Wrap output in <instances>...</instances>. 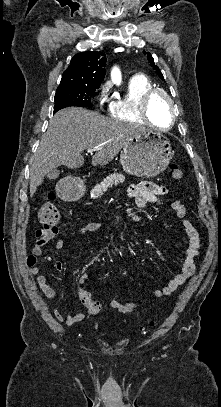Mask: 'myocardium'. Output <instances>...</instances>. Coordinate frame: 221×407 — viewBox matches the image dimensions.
Here are the masks:
<instances>
[{
    "instance_id": "f54148a6",
    "label": "myocardium",
    "mask_w": 221,
    "mask_h": 407,
    "mask_svg": "<svg viewBox=\"0 0 221 407\" xmlns=\"http://www.w3.org/2000/svg\"><path fill=\"white\" fill-rule=\"evenodd\" d=\"M158 96H162L166 99V101L169 104L170 110H171V121H170L169 126L166 128H157L159 131L164 132V131L170 130L174 126L175 120H176L175 114H174V106H175L174 101H173L172 97L165 90L159 89V88H153V89L149 90L142 98V101L139 106V113L145 122H147L151 125H154L151 115H150V105H151L152 101Z\"/></svg>"
}]
</instances>
